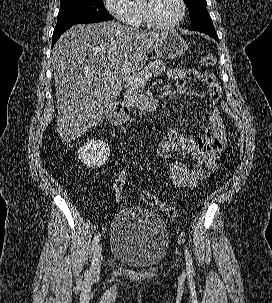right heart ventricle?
<instances>
[{"label": "right heart ventricle", "instance_id": "e07e8e85", "mask_svg": "<svg viewBox=\"0 0 272 303\" xmlns=\"http://www.w3.org/2000/svg\"><path fill=\"white\" fill-rule=\"evenodd\" d=\"M145 23L142 12V0L131 1L130 20L129 24L133 26H140Z\"/></svg>", "mask_w": 272, "mask_h": 303}]
</instances>
